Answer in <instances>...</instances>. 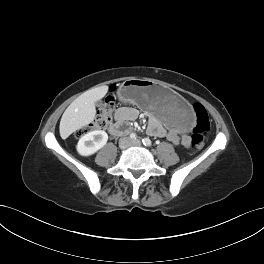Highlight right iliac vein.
I'll return each mask as SVG.
<instances>
[{
  "label": "right iliac vein",
  "instance_id": "obj_1",
  "mask_svg": "<svg viewBox=\"0 0 264 264\" xmlns=\"http://www.w3.org/2000/svg\"><path fill=\"white\" fill-rule=\"evenodd\" d=\"M129 144H130L129 139L128 138H123L121 140V142H120V148L121 149H125V148H127L129 146Z\"/></svg>",
  "mask_w": 264,
  "mask_h": 264
}]
</instances>
